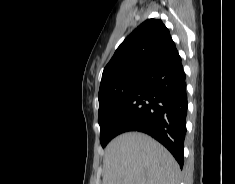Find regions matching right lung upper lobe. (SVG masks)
Masks as SVG:
<instances>
[{
	"instance_id": "obj_1",
	"label": "right lung upper lobe",
	"mask_w": 235,
	"mask_h": 184,
	"mask_svg": "<svg viewBox=\"0 0 235 184\" xmlns=\"http://www.w3.org/2000/svg\"><path fill=\"white\" fill-rule=\"evenodd\" d=\"M177 52L169 30L158 19L140 24L120 44L104 68L98 99L109 89L144 78L157 65Z\"/></svg>"
}]
</instances>
